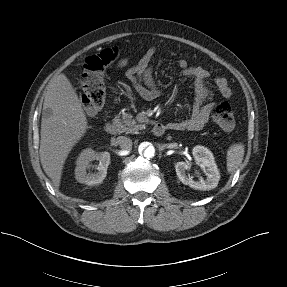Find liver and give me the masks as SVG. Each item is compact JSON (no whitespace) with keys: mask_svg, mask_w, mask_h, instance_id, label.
Segmentation results:
<instances>
[{"mask_svg":"<svg viewBox=\"0 0 287 287\" xmlns=\"http://www.w3.org/2000/svg\"><path fill=\"white\" fill-rule=\"evenodd\" d=\"M87 129V118L65 74L53 77L45 94L40 131V159L45 173L59 188L63 165Z\"/></svg>","mask_w":287,"mask_h":287,"instance_id":"obj_1","label":"liver"}]
</instances>
